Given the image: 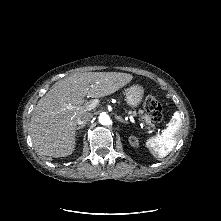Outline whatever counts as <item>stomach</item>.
Listing matches in <instances>:
<instances>
[{
	"label": "stomach",
	"mask_w": 221,
	"mask_h": 221,
	"mask_svg": "<svg viewBox=\"0 0 221 221\" xmlns=\"http://www.w3.org/2000/svg\"><path fill=\"white\" fill-rule=\"evenodd\" d=\"M144 95V89L140 85H132L126 89V102L132 107L136 108L140 105Z\"/></svg>",
	"instance_id": "1"
}]
</instances>
